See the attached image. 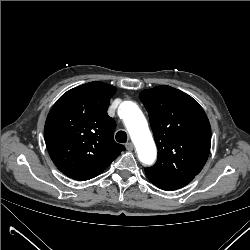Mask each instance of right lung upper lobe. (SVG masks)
I'll use <instances>...</instances> for the list:
<instances>
[{
	"label": "right lung upper lobe",
	"mask_w": 250,
	"mask_h": 250,
	"mask_svg": "<svg viewBox=\"0 0 250 250\" xmlns=\"http://www.w3.org/2000/svg\"><path fill=\"white\" fill-rule=\"evenodd\" d=\"M116 88L90 82L63 94L50 110L45 142L56 167L80 180L99 175L125 150L114 141L115 121L108 116Z\"/></svg>",
	"instance_id": "cb5924a9"
}]
</instances>
